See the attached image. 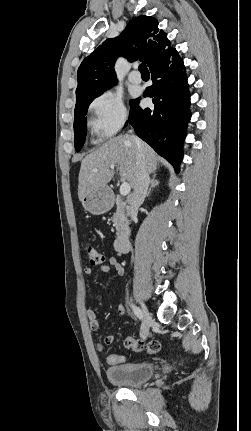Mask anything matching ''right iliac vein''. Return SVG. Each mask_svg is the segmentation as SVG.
Returning a JSON list of instances; mask_svg holds the SVG:
<instances>
[{"instance_id": "1", "label": "right iliac vein", "mask_w": 251, "mask_h": 431, "mask_svg": "<svg viewBox=\"0 0 251 431\" xmlns=\"http://www.w3.org/2000/svg\"><path fill=\"white\" fill-rule=\"evenodd\" d=\"M141 309H142V314H143V323H142V330H141V336L143 339L147 338L148 334H149V328H150V324H151V316L148 312L147 307L141 302Z\"/></svg>"}]
</instances>
